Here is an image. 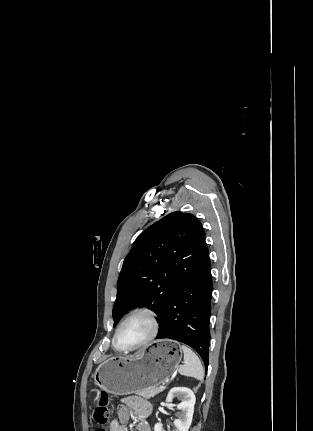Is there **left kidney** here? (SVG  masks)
I'll use <instances>...</instances> for the list:
<instances>
[{"mask_svg": "<svg viewBox=\"0 0 313 431\" xmlns=\"http://www.w3.org/2000/svg\"><path fill=\"white\" fill-rule=\"evenodd\" d=\"M174 397L181 399L177 405L180 410L179 418L174 421L176 429L174 431H188L194 413L195 395L192 390L185 387L172 388L166 398V402H171ZM154 431H165L163 425L159 422L155 425Z\"/></svg>", "mask_w": 313, "mask_h": 431, "instance_id": "left-kidney-1", "label": "left kidney"}]
</instances>
